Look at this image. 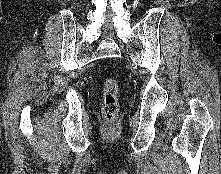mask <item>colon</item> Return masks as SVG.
Listing matches in <instances>:
<instances>
[{"mask_svg": "<svg viewBox=\"0 0 221 174\" xmlns=\"http://www.w3.org/2000/svg\"><path fill=\"white\" fill-rule=\"evenodd\" d=\"M119 88L113 77H108L103 85V105L102 111L105 119L111 123L117 115Z\"/></svg>", "mask_w": 221, "mask_h": 174, "instance_id": "obj_1", "label": "colon"}]
</instances>
